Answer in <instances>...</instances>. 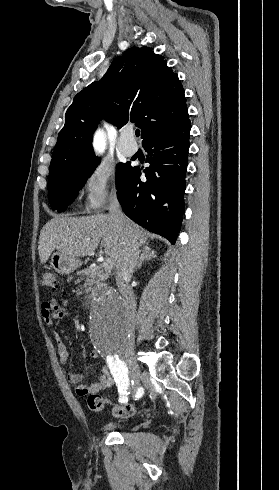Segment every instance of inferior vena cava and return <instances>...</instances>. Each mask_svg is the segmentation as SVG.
I'll return each instance as SVG.
<instances>
[{"mask_svg":"<svg viewBox=\"0 0 279 490\" xmlns=\"http://www.w3.org/2000/svg\"><path fill=\"white\" fill-rule=\"evenodd\" d=\"M109 218L113 220V224L118 226V228H122V226L128 224V220L121 210L117 196H113L110 200ZM139 254L140 250L137 240H135L134 236H129L128 242H126L125 256L122 262L116 266V284L121 294L127 324L131 330L135 328L136 300L129 282L132 278L134 268L138 264Z\"/></svg>","mask_w":279,"mask_h":490,"instance_id":"1","label":"inferior vena cava"}]
</instances>
